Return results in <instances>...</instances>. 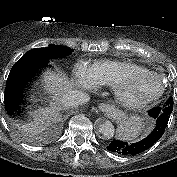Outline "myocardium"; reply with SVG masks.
Listing matches in <instances>:
<instances>
[{
    "mask_svg": "<svg viewBox=\"0 0 177 177\" xmlns=\"http://www.w3.org/2000/svg\"><path fill=\"white\" fill-rule=\"evenodd\" d=\"M138 77H149L155 79L160 83V89L157 93L147 96V97H140V98H131L127 95L125 91V85L128 79L130 78H138ZM113 91L115 94L116 99L125 107L132 108V109H139L143 108L150 103L158 100L165 91V83L163 79L153 72H141V73H129L122 76L117 83L113 87Z\"/></svg>",
    "mask_w": 177,
    "mask_h": 177,
    "instance_id": "obj_1",
    "label": "myocardium"
}]
</instances>
